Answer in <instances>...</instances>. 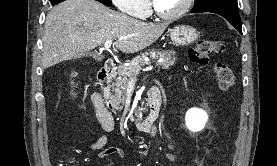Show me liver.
Wrapping results in <instances>:
<instances>
[{
  "label": "liver",
  "mask_w": 277,
  "mask_h": 166,
  "mask_svg": "<svg viewBox=\"0 0 277 166\" xmlns=\"http://www.w3.org/2000/svg\"><path fill=\"white\" fill-rule=\"evenodd\" d=\"M168 25L134 19L96 0H66L47 14L42 68L81 58L109 40H117V49L124 53H136L154 43Z\"/></svg>",
  "instance_id": "1"
}]
</instances>
